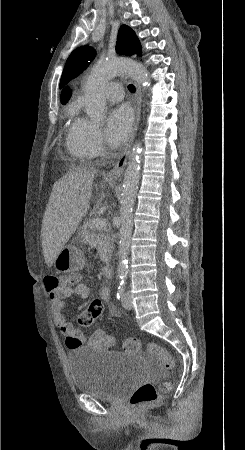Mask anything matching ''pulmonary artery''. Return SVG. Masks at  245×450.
<instances>
[{"instance_id": "pulmonary-artery-1", "label": "pulmonary artery", "mask_w": 245, "mask_h": 450, "mask_svg": "<svg viewBox=\"0 0 245 450\" xmlns=\"http://www.w3.org/2000/svg\"><path fill=\"white\" fill-rule=\"evenodd\" d=\"M123 85L116 81H109L103 87V93L105 98L111 102H120L123 97L121 94V90Z\"/></svg>"}]
</instances>
